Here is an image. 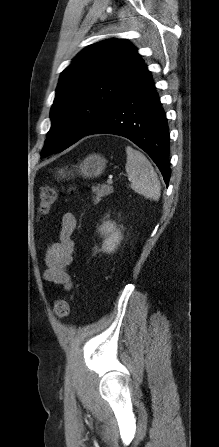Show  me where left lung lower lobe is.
Returning a JSON list of instances; mask_svg holds the SVG:
<instances>
[{
    "label": "left lung lower lobe",
    "mask_w": 219,
    "mask_h": 447,
    "mask_svg": "<svg viewBox=\"0 0 219 447\" xmlns=\"http://www.w3.org/2000/svg\"><path fill=\"white\" fill-rule=\"evenodd\" d=\"M93 134H114L131 140L151 157L168 186L167 119L145 64L132 84L86 135Z\"/></svg>",
    "instance_id": "1"
}]
</instances>
